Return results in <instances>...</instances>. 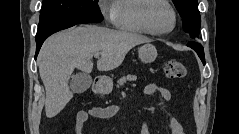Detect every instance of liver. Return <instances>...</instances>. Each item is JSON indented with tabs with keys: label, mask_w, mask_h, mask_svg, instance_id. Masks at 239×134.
Returning <instances> with one entry per match:
<instances>
[{
	"label": "liver",
	"mask_w": 239,
	"mask_h": 134,
	"mask_svg": "<svg viewBox=\"0 0 239 134\" xmlns=\"http://www.w3.org/2000/svg\"><path fill=\"white\" fill-rule=\"evenodd\" d=\"M150 41L137 33L92 25L70 28L50 36L38 57L39 73L46 90V116H56L73 98L68 86L71 74L75 68L91 73L94 53H101L98 70L109 71L119 67L133 47Z\"/></svg>",
	"instance_id": "obj_1"
}]
</instances>
